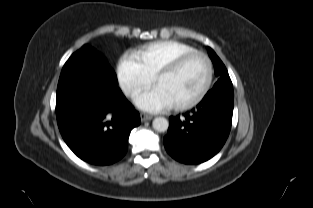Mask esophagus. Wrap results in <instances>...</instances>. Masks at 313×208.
Segmentation results:
<instances>
[{
	"label": "esophagus",
	"instance_id": "1",
	"mask_svg": "<svg viewBox=\"0 0 313 208\" xmlns=\"http://www.w3.org/2000/svg\"><path fill=\"white\" fill-rule=\"evenodd\" d=\"M140 118L142 122H145L151 120L153 117L149 114L141 113Z\"/></svg>",
	"mask_w": 313,
	"mask_h": 208
}]
</instances>
